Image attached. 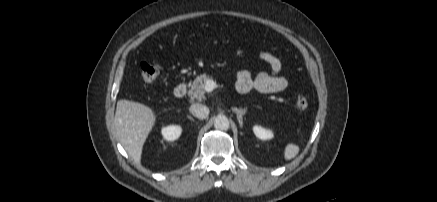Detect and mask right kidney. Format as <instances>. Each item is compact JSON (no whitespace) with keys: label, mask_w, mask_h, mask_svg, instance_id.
I'll use <instances>...</instances> for the list:
<instances>
[{"label":"right kidney","mask_w":437,"mask_h":202,"mask_svg":"<svg viewBox=\"0 0 437 202\" xmlns=\"http://www.w3.org/2000/svg\"><path fill=\"white\" fill-rule=\"evenodd\" d=\"M182 132V128L178 125H170L167 127H163L161 130L163 139L166 141H175L177 140Z\"/></svg>","instance_id":"right-kidney-1"}]
</instances>
